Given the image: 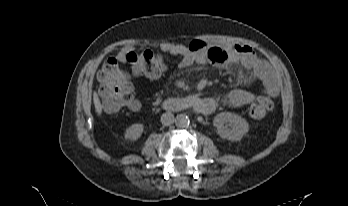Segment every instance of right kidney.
Wrapping results in <instances>:
<instances>
[{"mask_svg":"<svg viewBox=\"0 0 348 206\" xmlns=\"http://www.w3.org/2000/svg\"><path fill=\"white\" fill-rule=\"evenodd\" d=\"M144 126L143 124L137 123L133 124L125 131V139L134 141L137 140L143 133Z\"/></svg>","mask_w":348,"mask_h":206,"instance_id":"1","label":"right kidney"}]
</instances>
